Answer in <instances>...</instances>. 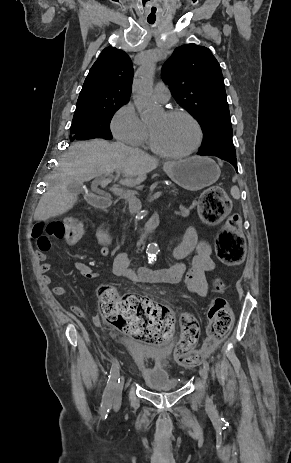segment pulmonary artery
Segmentation results:
<instances>
[{
  "mask_svg": "<svg viewBox=\"0 0 291 463\" xmlns=\"http://www.w3.org/2000/svg\"><path fill=\"white\" fill-rule=\"evenodd\" d=\"M153 93L158 102L165 103L170 99L169 88L161 81L155 85Z\"/></svg>",
  "mask_w": 291,
  "mask_h": 463,
  "instance_id": "pulmonary-artery-1",
  "label": "pulmonary artery"
}]
</instances>
